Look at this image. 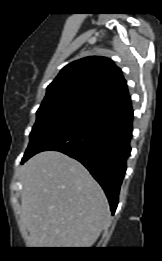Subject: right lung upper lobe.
I'll use <instances>...</instances> for the list:
<instances>
[{"label":"right lung upper lobe","instance_id":"cb5924a9","mask_svg":"<svg viewBox=\"0 0 162 261\" xmlns=\"http://www.w3.org/2000/svg\"><path fill=\"white\" fill-rule=\"evenodd\" d=\"M80 92L102 104L128 95L120 68L106 57L90 56L66 65L47 87L46 96Z\"/></svg>","mask_w":162,"mask_h":261}]
</instances>
